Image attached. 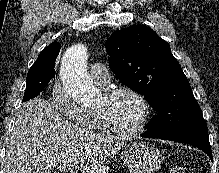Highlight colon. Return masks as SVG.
<instances>
[{"instance_id": "colon-1", "label": "colon", "mask_w": 219, "mask_h": 173, "mask_svg": "<svg viewBox=\"0 0 219 173\" xmlns=\"http://www.w3.org/2000/svg\"><path fill=\"white\" fill-rule=\"evenodd\" d=\"M171 173H189V171L183 166H177L172 169Z\"/></svg>"}]
</instances>
